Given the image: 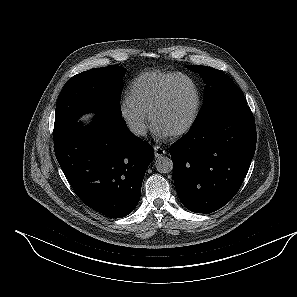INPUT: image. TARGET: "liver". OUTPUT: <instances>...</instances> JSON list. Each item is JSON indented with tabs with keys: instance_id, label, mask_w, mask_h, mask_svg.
<instances>
[{
	"instance_id": "6515ba94",
	"label": "liver",
	"mask_w": 297,
	"mask_h": 297,
	"mask_svg": "<svg viewBox=\"0 0 297 297\" xmlns=\"http://www.w3.org/2000/svg\"><path fill=\"white\" fill-rule=\"evenodd\" d=\"M91 115L84 116L82 120H87Z\"/></svg>"
}]
</instances>
